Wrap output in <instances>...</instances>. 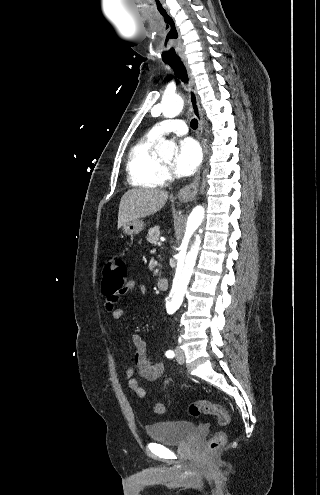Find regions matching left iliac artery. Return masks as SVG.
<instances>
[{
	"label": "left iliac artery",
	"mask_w": 320,
	"mask_h": 495,
	"mask_svg": "<svg viewBox=\"0 0 320 495\" xmlns=\"http://www.w3.org/2000/svg\"><path fill=\"white\" fill-rule=\"evenodd\" d=\"M166 357L168 358H173L174 357V352L172 350H167L165 353Z\"/></svg>",
	"instance_id": "1"
}]
</instances>
